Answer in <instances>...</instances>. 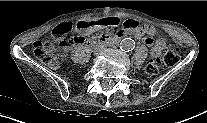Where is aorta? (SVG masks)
<instances>
[{
    "label": "aorta",
    "instance_id": "aorta-1",
    "mask_svg": "<svg viewBox=\"0 0 207 123\" xmlns=\"http://www.w3.org/2000/svg\"><path fill=\"white\" fill-rule=\"evenodd\" d=\"M135 47V42L131 38H125L120 43V48L124 51H130Z\"/></svg>",
    "mask_w": 207,
    "mask_h": 123
}]
</instances>
